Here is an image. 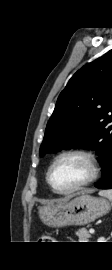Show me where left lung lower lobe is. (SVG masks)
I'll return each mask as SVG.
<instances>
[{"mask_svg":"<svg viewBox=\"0 0 112 270\" xmlns=\"http://www.w3.org/2000/svg\"><path fill=\"white\" fill-rule=\"evenodd\" d=\"M101 180L95 183L99 189H112V153L103 165Z\"/></svg>","mask_w":112,"mask_h":270,"instance_id":"left-lung-lower-lobe-1","label":"left lung lower lobe"}]
</instances>
